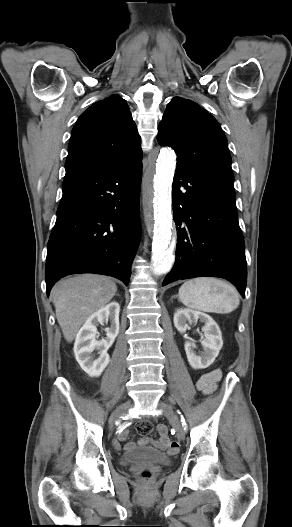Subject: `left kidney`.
<instances>
[{
  "label": "left kidney",
  "mask_w": 292,
  "mask_h": 527,
  "mask_svg": "<svg viewBox=\"0 0 292 527\" xmlns=\"http://www.w3.org/2000/svg\"><path fill=\"white\" fill-rule=\"evenodd\" d=\"M197 320L205 324L202 327L205 338L201 342L204 352L196 355L194 352L196 345L189 341L185 342L184 348L190 366L194 369H204L214 362L223 346L222 333L218 324L209 315L192 309H177L174 313V326L180 333L186 332L187 322Z\"/></svg>",
  "instance_id": "1"
}]
</instances>
